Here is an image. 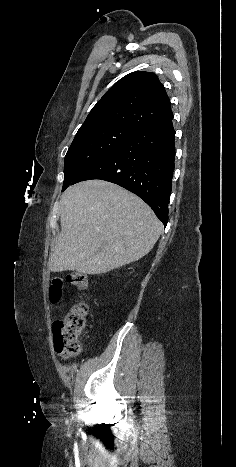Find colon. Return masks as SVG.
I'll use <instances>...</instances> for the list:
<instances>
[{
  "label": "colon",
  "mask_w": 236,
  "mask_h": 467,
  "mask_svg": "<svg viewBox=\"0 0 236 467\" xmlns=\"http://www.w3.org/2000/svg\"><path fill=\"white\" fill-rule=\"evenodd\" d=\"M68 282L79 290L88 288L89 282L86 274L73 272ZM64 282L56 277L49 287V300L57 305L63 296ZM89 312L88 304L84 301L73 304L63 319L57 320L53 325L54 347L61 359H69L80 352L79 337L86 327Z\"/></svg>",
  "instance_id": "1"
}]
</instances>
